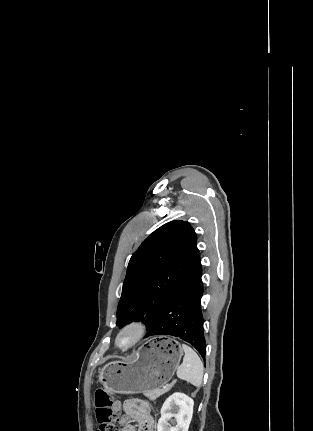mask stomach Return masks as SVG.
<instances>
[{"instance_id":"1","label":"stomach","mask_w":313,"mask_h":431,"mask_svg":"<svg viewBox=\"0 0 313 431\" xmlns=\"http://www.w3.org/2000/svg\"><path fill=\"white\" fill-rule=\"evenodd\" d=\"M180 344L168 337H155L128 360L113 361L100 371L99 381L119 394L144 393L164 387L173 377L182 357Z\"/></svg>"}]
</instances>
